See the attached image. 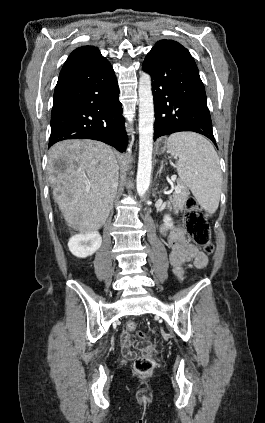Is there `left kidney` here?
Returning a JSON list of instances; mask_svg holds the SVG:
<instances>
[{
	"label": "left kidney",
	"mask_w": 265,
	"mask_h": 423,
	"mask_svg": "<svg viewBox=\"0 0 265 423\" xmlns=\"http://www.w3.org/2000/svg\"><path fill=\"white\" fill-rule=\"evenodd\" d=\"M164 223H165L167 228H169V229L173 228L172 218L170 217V215L166 214L164 216Z\"/></svg>",
	"instance_id": "5707ae66"
}]
</instances>
